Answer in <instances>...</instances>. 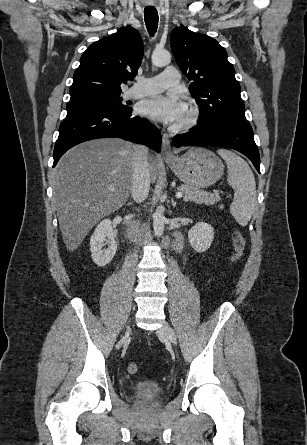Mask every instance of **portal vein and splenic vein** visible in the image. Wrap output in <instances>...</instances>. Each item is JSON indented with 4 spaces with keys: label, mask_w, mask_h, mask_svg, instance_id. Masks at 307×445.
Segmentation results:
<instances>
[{
    "label": "portal vein and splenic vein",
    "mask_w": 307,
    "mask_h": 445,
    "mask_svg": "<svg viewBox=\"0 0 307 445\" xmlns=\"http://www.w3.org/2000/svg\"><path fill=\"white\" fill-rule=\"evenodd\" d=\"M109 190H113V188H109ZM175 196H177V198H180V196H183V192H176Z\"/></svg>",
    "instance_id": "18ae733b"
}]
</instances>
